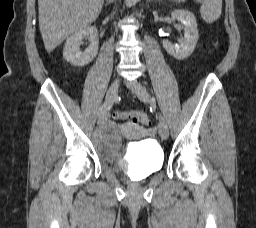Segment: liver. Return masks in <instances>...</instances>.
Masks as SVG:
<instances>
[{"label":"liver","instance_id":"liver-1","mask_svg":"<svg viewBox=\"0 0 256 228\" xmlns=\"http://www.w3.org/2000/svg\"><path fill=\"white\" fill-rule=\"evenodd\" d=\"M104 0H38L39 28L48 53L99 16Z\"/></svg>","mask_w":256,"mask_h":228}]
</instances>
